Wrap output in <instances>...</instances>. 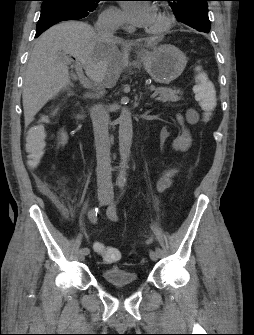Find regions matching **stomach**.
<instances>
[{"label":"stomach","mask_w":254,"mask_h":335,"mask_svg":"<svg viewBox=\"0 0 254 335\" xmlns=\"http://www.w3.org/2000/svg\"><path fill=\"white\" fill-rule=\"evenodd\" d=\"M141 62L150 77L159 84H169L184 71L187 58L177 47L164 44L140 53Z\"/></svg>","instance_id":"0dacf381"}]
</instances>
